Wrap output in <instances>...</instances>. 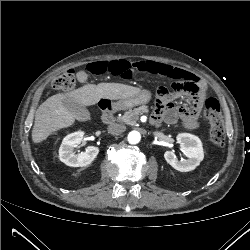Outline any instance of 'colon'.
I'll list each match as a JSON object with an SVG mask.
<instances>
[{"instance_id": "5ec220e1", "label": "colon", "mask_w": 250, "mask_h": 250, "mask_svg": "<svg viewBox=\"0 0 250 250\" xmlns=\"http://www.w3.org/2000/svg\"><path fill=\"white\" fill-rule=\"evenodd\" d=\"M85 73L94 76L112 75L121 78H129L132 76L133 66L127 61L93 62L86 67ZM176 84V88L178 89L182 85V83L179 84L177 81ZM75 85L76 75L74 70H66L52 81V87L62 91H69L73 89ZM159 96L160 92L158 91V97ZM204 115L209 123V137L211 142L216 146L223 145L225 141L223 118L221 115L220 104L215 98H206Z\"/></svg>"}]
</instances>
